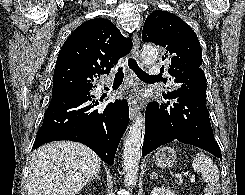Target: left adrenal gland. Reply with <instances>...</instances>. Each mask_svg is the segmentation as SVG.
I'll use <instances>...</instances> for the list:
<instances>
[{
	"label": "left adrenal gland",
	"mask_w": 245,
	"mask_h": 195,
	"mask_svg": "<svg viewBox=\"0 0 245 195\" xmlns=\"http://www.w3.org/2000/svg\"><path fill=\"white\" fill-rule=\"evenodd\" d=\"M158 177L163 178V176L158 175L156 172H153V171L151 172V174H150V179L154 180V179H156V178H158Z\"/></svg>",
	"instance_id": "obj_1"
}]
</instances>
